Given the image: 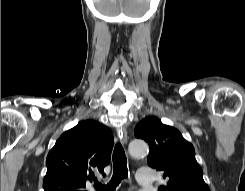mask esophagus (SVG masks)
Segmentation results:
<instances>
[{"mask_svg": "<svg viewBox=\"0 0 245 191\" xmlns=\"http://www.w3.org/2000/svg\"><path fill=\"white\" fill-rule=\"evenodd\" d=\"M117 135L123 144L127 143V130L125 127L118 128Z\"/></svg>", "mask_w": 245, "mask_h": 191, "instance_id": "obj_1", "label": "esophagus"}]
</instances>
